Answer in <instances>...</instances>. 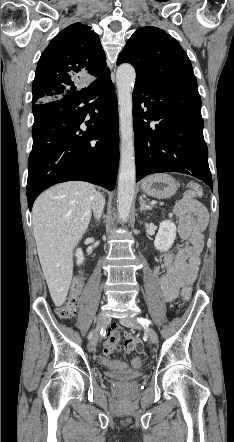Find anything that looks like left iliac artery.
<instances>
[{"label":"left iliac artery","instance_id":"44dca946","mask_svg":"<svg viewBox=\"0 0 234 442\" xmlns=\"http://www.w3.org/2000/svg\"><path fill=\"white\" fill-rule=\"evenodd\" d=\"M138 322L142 324V326H148L151 322L146 318H138Z\"/></svg>","mask_w":234,"mask_h":442}]
</instances>
